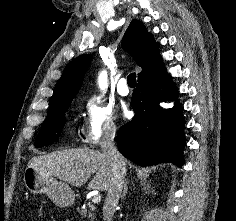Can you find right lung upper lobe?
<instances>
[{
    "mask_svg": "<svg viewBox=\"0 0 236 221\" xmlns=\"http://www.w3.org/2000/svg\"><path fill=\"white\" fill-rule=\"evenodd\" d=\"M122 44L125 50L132 55L137 65L142 68L138 79L152 73L162 63L158 50L159 44L155 42L152 34L147 31L143 23L138 20H132L124 34ZM91 58L89 54L81 55L65 67L62 77L55 86L49 111L73 100L81 87Z\"/></svg>",
    "mask_w": 236,
    "mask_h": 221,
    "instance_id": "1",
    "label": "right lung upper lobe"
}]
</instances>
